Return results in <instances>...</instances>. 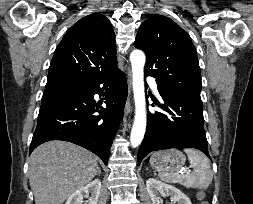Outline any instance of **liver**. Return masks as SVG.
I'll return each instance as SVG.
<instances>
[{
  "label": "liver",
  "instance_id": "liver-1",
  "mask_svg": "<svg viewBox=\"0 0 253 204\" xmlns=\"http://www.w3.org/2000/svg\"><path fill=\"white\" fill-rule=\"evenodd\" d=\"M95 155L65 141H49L29 158V183L35 204H63L98 173Z\"/></svg>",
  "mask_w": 253,
  "mask_h": 204
}]
</instances>
